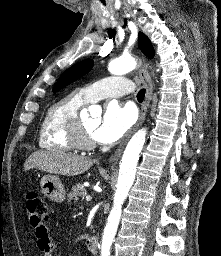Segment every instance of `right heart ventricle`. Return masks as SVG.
Listing matches in <instances>:
<instances>
[{
  "label": "right heart ventricle",
  "instance_id": "obj_1",
  "mask_svg": "<svg viewBox=\"0 0 221 256\" xmlns=\"http://www.w3.org/2000/svg\"><path fill=\"white\" fill-rule=\"evenodd\" d=\"M87 103L80 91H74L51 105L39 130V145L51 151H73L72 131L80 108Z\"/></svg>",
  "mask_w": 221,
  "mask_h": 256
}]
</instances>
